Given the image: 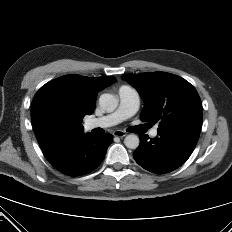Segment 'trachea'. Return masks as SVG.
Instances as JSON below:
<instances>
[{
	"label": "trachea",
	"mask_w": 232,
	"mask_h": 232,
	"mask_svg": "<svg viewBox=\"0 0 232 232\" xmlns=\"http://www.w3.org/2000/svg\"><path fill=\"white\" fill-rule=\"evenodd\" d=\"M149 126L148 125H145L144 127H140V128H148Z\"/></svg>",
	"instance_id": "3493384b"
}]
</instances>
